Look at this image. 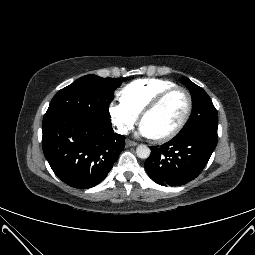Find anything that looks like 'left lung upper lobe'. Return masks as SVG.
I'll return each instance as SVG.
<instances>
[{"label": "left lung upper lobe", "mask_w": 255, "mask_h": 255, "mask_svg": "<svg viewBox=\"0 0 255 255\" xmlns=\"http://www.w3.org/2000/svg\"><path fill=\"white\" fill-rule=\"evenodd\" d=\"M182 81L191 92L193 111L188 122L176 137L203 133L217 135L218 114L210 97L188 78L182 77Z\"/></svg>", "instance_id": "left-lung-upper-lobe-1"}]
</instances>
